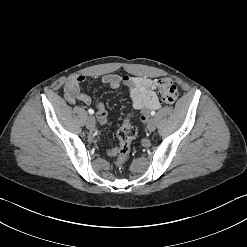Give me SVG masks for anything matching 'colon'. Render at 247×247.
<instances>
[{
  "instance_id": "1",
  "label": "colon",
  "mask_w": 247,
  "mask_h": 247,
  "mask_svg": "<svg viewBox=\"0 0 247 247\" xmlns=\"http://www.w3.org/2000/svg\"><path fill=\"white\" fill-rule=\"evenodd\" d=\"M158 89L160 91L162 100L166 104H174L177 101V89L170 79H159ZM136 136L137 129L134 125L131 124L129 118H127L124 124L117 131L119 145L114 148L115 164L117 167L121 168L126 163L130 154L131 143Z\"/></svg>"
}]
</instances>
